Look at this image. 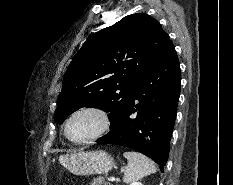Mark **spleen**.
Returning a JSON list of instances; mask_svg holds the SVG:
<instances>
[{
	"instance_id": "spleen-1",
	"label": "spleen",
	"mask_w": 233,
	"mask_h": 185,
	"mask_svg": "<svg viewBox=\"0 0 233 185\" xmlns=\"http://www.w3.org/2000/svg\"><path fill=\"white\" fill-rule=\"evenodd\" d=\"M123 155L128 162L123 177V181L126 184L132 185L144 176L156 172L154 162L143 154L138 152H125Z\"/></svg>"
}]
</instances>
